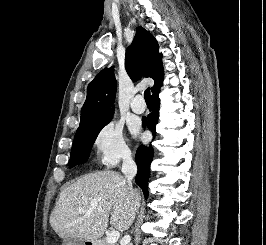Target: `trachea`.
<instances>
[{
    "label": "trachea",
    "instance_id": "1",
    "mask_svg": "<svg viewBox=\"0 0 266 245\" xmlns=\"http://www.w3.org/2000/svg\"><path fill=\"white\" fill-rule=\"evenodd\" d=\"M144 98L146 103H151V99H150V88H147V90H145L144 92Z\"/></svg>",
    "mask_w": 266,
    "mask_h": 245
}]
</instances>
